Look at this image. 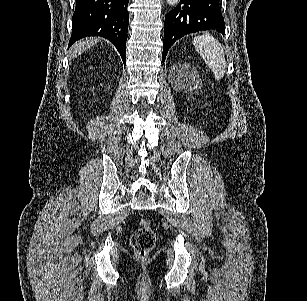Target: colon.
Returning a JSON list of instances; mask_svg holds the SVG:
<instances>
[{
  "label": "colon",
  "instance_id": "obj_1",
  "mask_svg": "<svg viewBox=\"0 0 307 301\" xmlns=\"http://www.w3.org/2000/svg\"><path fill=\"white\" fill-rule=\"evenodd\" d=\"M156 243V233L148 218L139 221L138 228L131 236V245L138 258L144 259L152 251Z\"/></svg>",
  "mask_w": 307,
  "mask_h": 301
}]
</instances>
